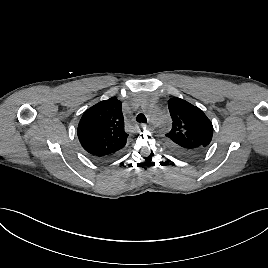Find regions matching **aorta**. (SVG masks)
I'll return each mask as SVG.
<instances>
[{
  "mask_svg": "<svg viewBox=\"0 0 268 268\" xmlns=\"http://www.w3.org/2000/svg\"><path fill=\"white\" fill-rule=\"evenodd\" d=\"M144 110L149 116L150 121L155 127L162 128L164 126L165 124L164 117H163L162 112L159 109H157L154 106L148 105V106H145Z\"/></svg>",
  "mask_w": 268,
  "mask_h": 268,
  "instance_id": "762f6f07",
  "label": "aorta"
}]
</instances>
